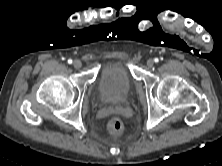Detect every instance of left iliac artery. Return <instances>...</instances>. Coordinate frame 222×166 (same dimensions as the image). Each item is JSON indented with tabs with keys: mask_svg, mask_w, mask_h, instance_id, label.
Instances as JSON below:
<instances>
[{
	"mask_svg": "<svg viewBox=\"0 0 222 166\" xmlns=\"http://www.w3.org/2000/svg\"><path fill=\"white\" fill-rule=\"evenodd\" d=\"M158 61H159V60L156 58V59H155V62H158Z\"/></svg>",
	"mask_w": 222,
	"mask_h": 166,
	"instance_id": "left-iliac-artery-1",
	"label": "left iliac artery"
}]
</instances>
